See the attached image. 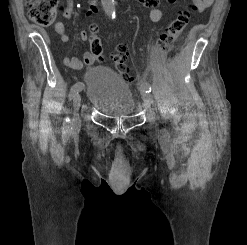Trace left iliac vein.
Here are the masks:
<instances>
[{"instance_id":"1","label":"left iliac vein","mask_w":247,"mask_h":245,"mask_svg":"<svg viewBox=\"0 0 247 245\" xmlns=\"http://www.w3.org/2000/svg\"><path fill=\"white\" fill-rule=\"evenodd\" d=\"M141 95H142V98H143L145 104L148 107L153 104V98H152L151 94L146 92V89L144 87H141Z\"/></svg>"}]
</instances>
